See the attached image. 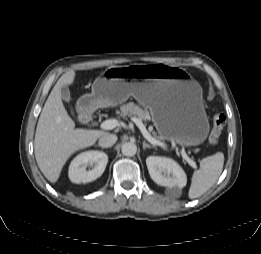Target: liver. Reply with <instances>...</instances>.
<instances>
[{"label": "liver", "instance_id": "obj_1", "mask_svg": "<svg viewBox=\"0 0 261 254\" xmlns=\"http://www.w3.org/2000/svg\"><path fill=\"white\" fill-rule=\"evenodd\" d=\"M75 71L65 72L50 92L40 114L34 152L39 169L46 179L55 183L66 161L78 150L90 147L106 132L92 129H75L62 99L61 88L73 84Z\"/></svg>", "mask_w": 261, "mask_h": 254}]
</instances>
